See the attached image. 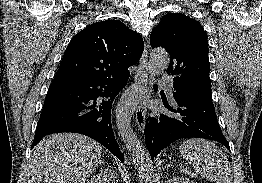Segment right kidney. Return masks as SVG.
I'll return each mask as SVG.
<instances>
[{
    "instance_id": "ca27d5eb",
    "label": "right kidney",
    "mask_w": 262,
    "mask_h": 183,
    "mask_svg": "<svg viewBox=\"0 0 262 183\" xmlns=\"http://www.w3.org/2000/svg\"><path fill=\"white\" fill-rule=\"evenodd\" d=\"M87 183H118V182L116 180L114 172L107 169L104 170V172L102 171L100 174H97V176H94Z\"/></svg>"
}]
</instances>
